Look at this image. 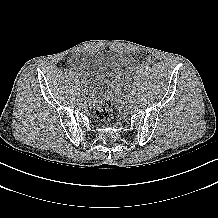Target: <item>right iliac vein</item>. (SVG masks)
Instances as JSON below:
<instances>
[{"mask_svg": "<svg viewBox=\"0 0 218 218\" xmlns=\"http://www.w3.org/2000/svg\"><path fill=\"white\" fill-rule=\"evenodd\" d=\"M86 90H85V86H80V92H85Z\"/></svg>", "mask_w": 218, "mask_h": 218, "instance_id": "1", "label": "right iliac vein"}]
</instances>
